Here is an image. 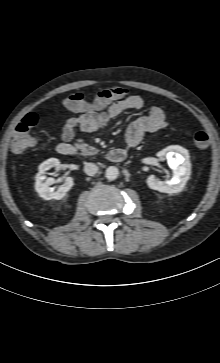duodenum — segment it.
Returning a JSON list of instances; mask_svg holds the SVG:
<instances>
[{
    "mask_svg": "<svg viewBox=\"0 0 220 363\" xmlns=\"http://www.w3.org/2000/svg\"><path fill=\"white\" fill-rule=\"evenodd\" d=\"M57 152L61 156L72 157L78 154V149L72 144L60 143L57 146ZM126 156L127 150L123 148L111 149L107 154L108 161L111 163L122 162L126 158Z\"/></svg>",
    "mask_w": 220,
    "mask_h": 363,
    "instance_id": "duodenum-1",
    "label": "duodenum"
}]
</instances>
